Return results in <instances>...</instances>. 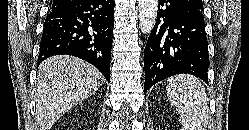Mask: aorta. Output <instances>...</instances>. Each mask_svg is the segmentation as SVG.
Masks as SVG:
<instances>
[{"label":"aorta","mask_w":249,"mask_h":130,"mask_svg":"<svg viewBox=\"0 0 249 130\" xmlns=\"http://www.w3.org/2000/svg\"><path fill=\"white\" fill-rule=\"evenodd\" d=\"M139 26L144 34L152 31L158 10V0H138Z\"/></svg>","instance_id":"1"}]
</instances>
